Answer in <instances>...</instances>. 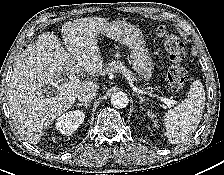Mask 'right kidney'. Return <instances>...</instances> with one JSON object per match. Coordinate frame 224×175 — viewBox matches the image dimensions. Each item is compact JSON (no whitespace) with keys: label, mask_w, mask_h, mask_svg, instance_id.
Segmentation results:
<instances>
[{"label":"right kidney","mask_w":224,"mask_h":175,"mask_svg":"<svg viewBox=\"0 0 224 175\" xmlns=\"http://www.w3.org/2000/svg\"><path fill=\"white\" fill-rule=\"evenodd\" d=\"M85 114L80 110H73L58 117L55 128L64 135H71L84 121Z\"/></svg>","instance_id":"1"}]
</instances>
